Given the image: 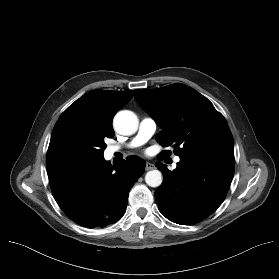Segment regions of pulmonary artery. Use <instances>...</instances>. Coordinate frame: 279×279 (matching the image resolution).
I'll use <instances>...</instances> for the list:
<instances>
[{
    "label": "pulmonary artery",
    "instance_id": "e3ab8cb5",
    "mask_svg": "<svg viewBox=\"0 0 279 279\" xmlns=\"http://www.w3.org/2000/svg\"><path fill=\"white\" fill-rule=\"evenodd\" d=\"M157 124L154 119L146 117L141 120L137 135L126 145L127 148H134L144 144L155 133ZM121 150L119 146H110L107 149V154L112 156L114 153ZM175 163L180 161L179 157H175Z\"/></svg>",
    "mask_w": 279,
    "mask_h": 279
}]
</instances>
